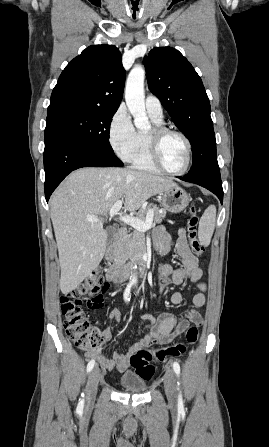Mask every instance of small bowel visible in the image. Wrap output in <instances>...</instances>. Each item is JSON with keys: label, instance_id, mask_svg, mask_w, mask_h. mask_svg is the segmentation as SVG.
Listing matches in <instances>:
<instances>
[{"label": "small bowel", "instance_id": "small-bowel-1", "mask_svg": "<svg viewBox=\"0 0 269 447\" xmlns=\"http://www.w3.org/2000/svg\"><path fill=\"white\" fill-rule=\"evenodd\" d=\"M153 242L156 250L161 255L166 254L170 242L169 232L163 226L157 227L153 232ZM176 251L180 258L181 265L179 267H174L170 264H165L161 267L159 288L162 290L170 283L182 286L187 282H190L200 290V292L194 294L192 298L194 308L188 309L180 315H174L168 312H163L158 317H153L146 313L141 314V319L149 321L145 327L147 334L141 336L130 347L126 354L114 352L110 357H107L98 352H88L102 367L106 369L117 368L119 371H125L129 367L130 355L136 349L150 344H168L179 335L181 330L189 328V322L196 325L202 324V317L197 309L202 308L205 304L204 291L206 290V285L201 282L202 269L199 266L198 259L191 252L187 244L185 231L182 228L177 231ZM183 300V294L178 291L172 293L170 297V301L173 305H180ZM120 319L121 313L118 309H112L109 312V325L101 330L105 342L112 337V324L118 323ZM174 327L178 328V330L174 331Z\"/></svg>", "mask_w": 269, "mask_h": 447}]
</instances>
